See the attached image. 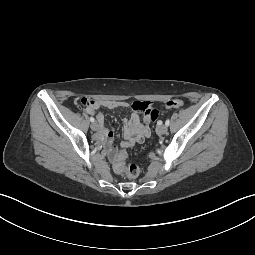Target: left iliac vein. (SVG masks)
Listing matches in <instances>:
<instances>
[{
    "label": "left iliac vein",
    "mask_w": 255,
    "mask_h": 255,
    "mask_svg": "<svg viewBox=\"0 0 255 255\" xmlns=\"http://www.w3.org/2000/svg\"><path fill=\"white\" fill-rule=\"evenodd\" d=\"M167 131H168V127L165 124L158 127V132L160 134H166Z\"/></svg>",
    "instance_id": "left-iliac-vein-1"
}]
</instances>
